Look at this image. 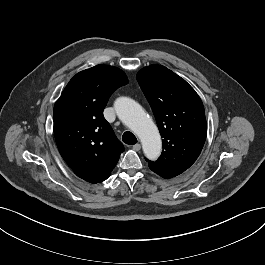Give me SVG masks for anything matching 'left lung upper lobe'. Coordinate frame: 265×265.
I'll return each instance as SVG.
<instances>
[{
  "label": "left lung upper lobe",
  "mask_w": 265,
  "mask_h": 265,
  "mask_svg": "<svg viewBox=\"0 0 265 265\" xmlns=\"http://www.w3.org/2000/svg\"><path fill=\"white\" fill-rule=\"evenodd\" d=\"M137 81L146 96L163 138V151L150 169L163 178L175 177L198 158L207 124L203 103L180 76L162 65L141 69Z\"/></svg>",
  "instance_id": "left-lung-upper-lobe-1"
}]
</instances>
